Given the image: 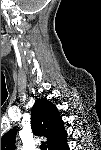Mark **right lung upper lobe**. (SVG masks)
I'll list each match as a JSON object with an SVG mask.
<instances>
[{
    "label": "right lung upper lobe",
    "instance_id": "right-lung-upper-lobe-1",
    "mask_svg": "<svg viewBox=\"0 0 101 150\" xmlns=\"http://www.w3.org/2000/svg\"><path fill=\"white\" fill-rule=\"evenodd\" d=\"M31 127L35 135L47 138L49 150H60L66 143L67 133L55 105L45 99H37L31 111ZM16 129L9 130L1 138V150H14Z\"/></svg>",
    "mask_w": 101,
    "mask_h": 150
}]
</instances>
